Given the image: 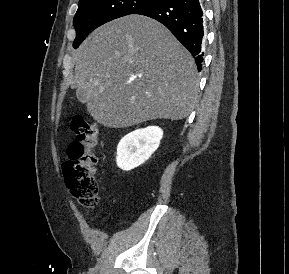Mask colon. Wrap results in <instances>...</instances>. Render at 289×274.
Wrapping results in <instances>:
<instances>
[{
    "label": "colon",
    "instance_id": "5ec220e1",
    "mask_svg": "<svg viewBox=\"0 0 289 274\" xmlns=\"http://www.w3.org/2000/svg\"><path fill=\"white\" fill-rule=\"evenodd\" d=\"M76 139L68 146L69 159L63 165L66 184L72 195L86 208H93L99 199L96 179L99 126L95 122L76 117L71 124Z\"/></svg>",
    "mask_w": 289,
    "mask_h": 274
}]
</instances>
